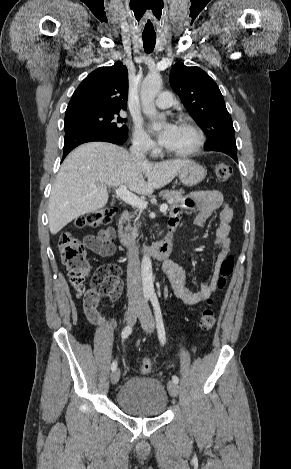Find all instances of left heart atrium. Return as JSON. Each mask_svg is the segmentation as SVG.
<instances>
[{"instance_id": "39dd6f15", "label": "left heart atrium", "mask_w": 291, "mask_h": 469, "mask_svg": "<svg viewBox=\"0 0 291 469\" xmlns=\"http://www.w3.org/2000/svg\"><path fill=\"white\" fill-rule=\"evenodd\" d=\"M176 130V125L167 123L157 130L158 140L161 145L166 146L172 139Z\"/></svg>"}]
</instances>
